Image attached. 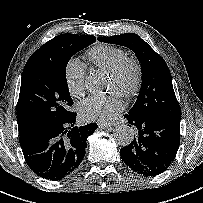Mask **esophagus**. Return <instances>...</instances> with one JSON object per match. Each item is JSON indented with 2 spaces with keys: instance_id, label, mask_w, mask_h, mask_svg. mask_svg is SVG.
Segmentation results:
<instances>
[{
  "instance_id": "34e87169",
  "label": "esophagus",
  "mask_w": 203,
  "mask_h": 203,
  "mask_svg": "<svg viewBox=\"0 0 203 203\" xmlns=\"http://www.w3.org/2000/svg\"><path fill=\"white\" fill-rule=\"evenodd\" d=\"M98 127H99L100 129H109V128H112L113 125L107 124V123H98Z\"/></svg>"
}]
</instances>
